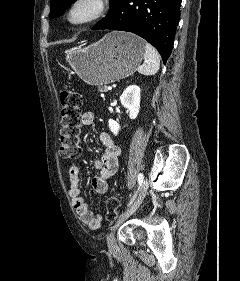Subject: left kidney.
<instances>
[{
    "instance_id": "5707ae66",
    "label": "left kidney",
    "mask_w": 240,
    "mask_h": 281,
    "mask_svg": "<svg viewBox=\"0 0 240 281\" xmlns=\"http://www.w3.org/2000/svg\"><path fill=\"white\" fill-rule=\"evenodd\" d=\"M140 98V88L137 85L128 86L120 96L121 104L129 110L130 119H135L138 116ZM108 124L110 131L117 135L120 130L119 124L113 119H109Z\"/></svg>"
}]
</instances>
